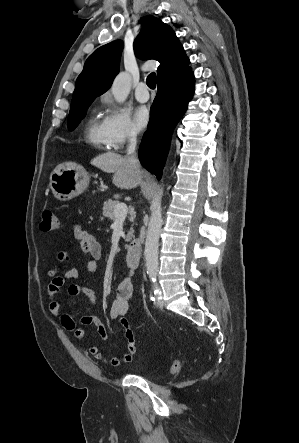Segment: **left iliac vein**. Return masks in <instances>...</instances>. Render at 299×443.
<instances>
[{"label": "left iliac vein", "mask_w": 299, "mask_h": 443, "mask_svg": "<svg viewBox=\"0 0 299 443\" xmlns=\"http://www.w3.org/2000/svg\"><path fill=\"white\" fill-rule=\"evenodd\" d=\"M159 290H160V289H159ZM158 305H159L160 307H162V306H163L162 301H159V302H158Z\"/></svg>", "instance_id": "obj_1"}]
</instances>
